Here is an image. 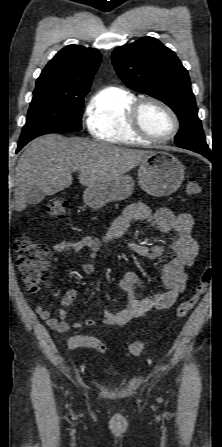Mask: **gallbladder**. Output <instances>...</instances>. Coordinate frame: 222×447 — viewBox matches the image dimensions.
Returning <instances> with one entry per match:
<instances>
[{"instance_id":"gallbladder-1","label":"gallbladder","mask_w":222,"mask_h":447,"mask_svg":"<svg viewBox=\"0 0 222 447\" xmlns=\"http://www.w3.org/2000/svg\"><path fill=\"white\" fill-rule=\"evenodd\" d=\"M45 198V194L42 192H37L34 197L29 199L28 204L29 205H36L40 203Z\"/></svg>"}]
</instances>
